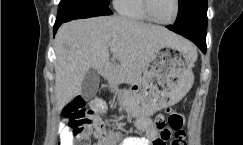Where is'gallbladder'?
I'll list each match as a JSON object with an SVG mask.
<instances>
[{"label": "gallbladder", "instance_id": "1", "mask_svg": "<svg viewBox=\"0 0 243 145\" xmlns=\"http://www.w3.org/2000/svg\"><path fill=\"white\" fill-rule=\"evenodd\" d=\"M100 76L95 68L89 69L86 73L81 88V95L84 99L89 100L94 97L98 91Z\"/></svg>", "mask_w": 243, "mask_h": 145}]
</instances>
